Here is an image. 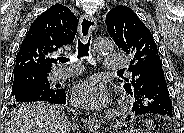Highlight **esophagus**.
<instances>
[{"label": "esophagus", "instance_id": "esophagus-1", "mask_svg": "<svg viewBox=\"0 0 184 133\" xmlns=\"http://www.w3.org/2000/svg\"><path fill=\"white\" fill-rule=\"evenodd\" d=\"M97 21L95 17L84 14L79 20L78 35L82 41H85L92 31L95 30ZM88 128L91 130H98L100 123L94 117H89L87 122Z\"/></svg>", "mask_w": 184, "mask_h": 133}]
</instances>
